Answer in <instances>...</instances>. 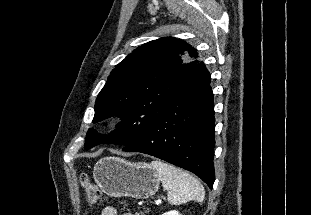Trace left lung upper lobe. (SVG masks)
Instances as JSON below:
<instances>
[{"label":"left lung upper lobe","instance_id":"5c2ea615","mask_svg":"<svg viewBox=\"0 0 311 215\" xmlns=\"http://www.w3.org/2000/svg\"><path fill=\"white\" fill-rule=\"evenodd\" d=\"M198 65L196 50L177 38H160L136 48L111 71L94 107L93 122L112 116L123 122L109 135L89 129L85 149L103 143H131L189 82Z\"/></svg>","mask_w":311,"mask_h":215}]
</instances>
